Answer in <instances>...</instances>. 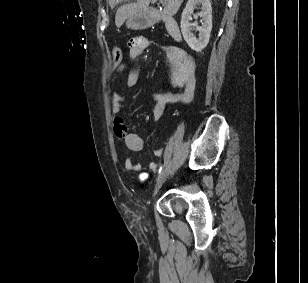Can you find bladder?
I'll return each mask as SVG.
<instances>
[{
	"label": "bladder",
	"instance_id": "obj_1",
	"mask_svg": "<svg viewBox=\"0 0 308 283\" xmlns=\"http://www.w3.org/2000/svg\"><path fill=\"white\" fill-rule=\"evenodd\" d=\"M146 177V175L144 174L143 176H142V178H145Z\"/></svg>",
	"mask_w": 308,
	"mask_h": 283
}]
</instances>
